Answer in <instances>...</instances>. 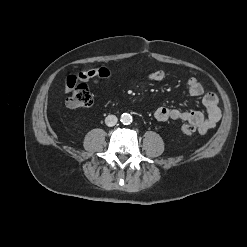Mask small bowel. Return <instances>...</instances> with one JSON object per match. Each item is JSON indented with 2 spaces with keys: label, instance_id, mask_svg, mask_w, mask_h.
<instances>
[{
  "label": "small bowel",
  "instance_id": "obj_1",
  "mask_svg": "<svg viewBox=\"0 0 247 247\" xmlns=\"http://www.w3.org/2000/svg\"><path fill=\"white\" fill-rule=\"evenodd\" d=\"M111 71L105 67L83 70L77 74L70 75L66 82V92H70L77 82H87L92 78L100 79L110 78ZM166 77L164 70H156L148 75L151 81H162ZM188 92L193 97L203 95V103L207 110L205 116L202 112L196 110H181L170 107H159L154 111V117L158 121L178 120L193 125L202 135L214 128L222 117V111L219 107L218 96L213 92L204 93V88L199 80L190 78L187 82Z\"/></svg>",
  "mask_w": 247,
  "mask_h": 247
}]
</instances>
